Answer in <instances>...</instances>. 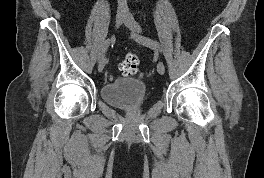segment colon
<instances>
[{"label":"colon","instance_id":"1","mask_svg":"<svg viewBox=\"0 0 264 178\" xmlns=\"http://www.w3.org/2000/svg\"><path fill=\"white\" fill-rule=\"evenodd\" d=\"M121 73L125 76H135L139 70V58L134 53H128L119 65Z\"/></svg>","mask_w":264,"mask_h":178}]
</instances>
